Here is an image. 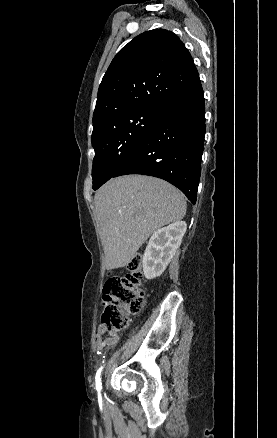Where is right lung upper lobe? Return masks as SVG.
<instances>
[{
  "label": "right lung upper lobe",
  "mask_w": 277,
  "mask_h": 438,
  "mask_svg": "<svg viewBox=\"0 0 277 438\" xmlns=\"http://www.w3.org/2000/svg\"><path fill=\"white\" fill-rule=\"evenodd\" d=\"M164 64L171 70H161ZM200 81L183 42L171 31L144 32L114 57L99 86L93 124L111 116L161 109Z\"/></svg>",
  "instance_id": "right-lung-upper-lobe-1"
}]
</instances>
